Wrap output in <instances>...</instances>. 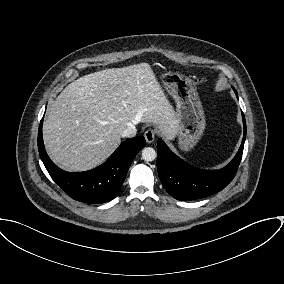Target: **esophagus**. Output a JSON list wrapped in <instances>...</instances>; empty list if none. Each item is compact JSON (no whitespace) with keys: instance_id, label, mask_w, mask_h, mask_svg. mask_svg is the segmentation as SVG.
<instances>
[{"instance_id":"1","label":"esophagus","mask_w":284,"mask_h":284,"mask_svg":"<svg viewBox=\"0 0 284 284\" xmlns=\"http://www.w3.org/2000/svg\"><path fill=\"white\" fill-rule=\"evenodd\" d=\"M144 137L147 143H152L155 140V131L153 129H147L144 133Z\"/></svg>"}]
</instances>
